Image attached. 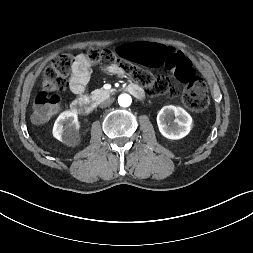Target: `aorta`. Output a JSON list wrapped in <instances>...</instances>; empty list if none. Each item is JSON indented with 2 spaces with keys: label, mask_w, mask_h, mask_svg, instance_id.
Masks as SVG:
<instances>
[{
  "label": "aorta",
  "mask_w": 253,
  "mask_h": 253,
  "mask_svg": "<svg viewBox=\"0 0 253 253\" xmlns=\"http://www.w3.org/2000/svg\"><path fill=\"white\" fill-rule=\"evenodd\" d=\"M131 102H132V99H131V96L129 94H121L118 97V103L122 107H128V106H130Z\"/></svg>",
  "instance_id": "obj_1"
}]
</instances>
